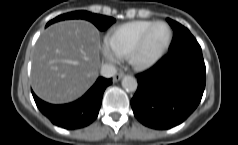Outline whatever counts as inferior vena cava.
<instances>
[{
  "label": "inferior vena cava",
  "mask_w": 238,
  "mask_h": 145,
  "mask_svg": "<svg viewBox=\"0 0 238 145\" xmlns=\"http://www.w3.org/2000/svg\"><path fill=\"white\" fill-rule=\"evenodd\" d=\"M117 73L115 66L104 64L101 66L100 74L105 78H111Z\"/></svg>",
  "instance_id": "inferior-vena-cava-1"
}]
</instances>
